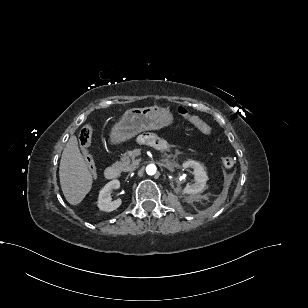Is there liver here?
Listing matches in <instances>:
<instances>
[{
    "label": "liver",
    "mask_w": 308,
    "mask_h": 308,
    "mask_svg": "<svg viewBox=\"0 0 308 308\" xmlns=\"http://www.w3.org/2000/svg\"><path fill=\"white\" fill-rule=\"evenodd\" d=\"M60 184L66 200L79 204L90 191L92 175L78 148L76 136H71L63 150L59 167Z\"/></svg>",
    "instance_id": "6515ba94"
}]
</instances>
